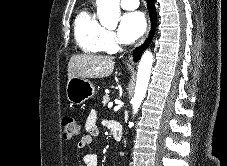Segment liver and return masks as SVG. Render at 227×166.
Wrapping results in <instances>:
<instances>
[{"mask_svg":"<svg viewBox=\"0 0 227 166\" xmlns=\"http://www.w3.org/2000/svg\"><path fill=\"white\" fill-rule=\"evenodd\" d=\"M113 57L105 55H74L68 63V79L80 77L96 79L108 77L114 70Z\"/></svg>","mask_w":227,"mask_h":166,"instance_id":"1","label":"liver"}]
</instances>
